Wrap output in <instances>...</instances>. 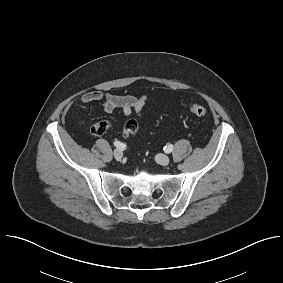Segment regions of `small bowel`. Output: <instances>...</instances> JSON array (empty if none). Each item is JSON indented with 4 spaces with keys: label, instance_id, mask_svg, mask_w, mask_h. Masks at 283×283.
Instances as JSON below:
<instances>
[{
    "label": "small bowel",
    "instance_id": "1",
    "mask_svg": "<svg viewBox=\"0 0 283 283\" xmlns=\"http://www.w3.org/2000/svg\"><path fill=\"white\" fill-rule=\"evenodd\" d=\"M148 99L147 95L139 97L131 95H115L111 93H103L101 91H91L84 94L78 101V106L85 113L86 105L91 103H99L104 111L112 113L116 109H120L124 117L129 118L132 114L141 115L143 107ZM134 122L136 125H131ZM139 131L138 123L135 120H128L121 131L122 137L136 135Z\"/></svg>",
    "mask_w": 283,
    "mask_h": 283
}]
</instances>
